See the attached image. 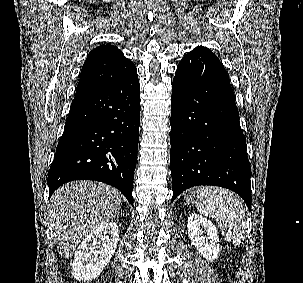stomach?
Instances as JSON below:
<instances>
[{
    "label": "stomach",
    "mask_w": 303,
    "mask_h": 283,
    "mask_svg": "<svg viewBox=\"0 0 303 283\" xmlns=\"http://www.w3.org/2000/svg\"><path fill=\"white\" fill-rule=\"evenodd\" d=\"M195 198V196H189V197H187L186 198V200H187V202L189 203V202H193V199Z\"/></svg>",
    "instance_id": "1"
}]
</instances>
